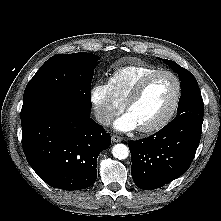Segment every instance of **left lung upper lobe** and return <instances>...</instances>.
Here are the masks:
<instances>
[{"instance_id":"obj_1","label":"left lung upper lobe","mask_w":221,"mask_h":221,"mask_svg":"<svg viewBox=\"0 0 221 221\" xmlns=\"http://www.w3.org/2000/svg\"><path fill=\"white\" fill-rule=\"evenodd\" d=\"M163 62L168 64L174 72L178 73L181 80V96L178 104V114L175 118L190 114L203 117L204 104L195 77L174 61L163 59Z\"/></svg>"}]
</instances>
